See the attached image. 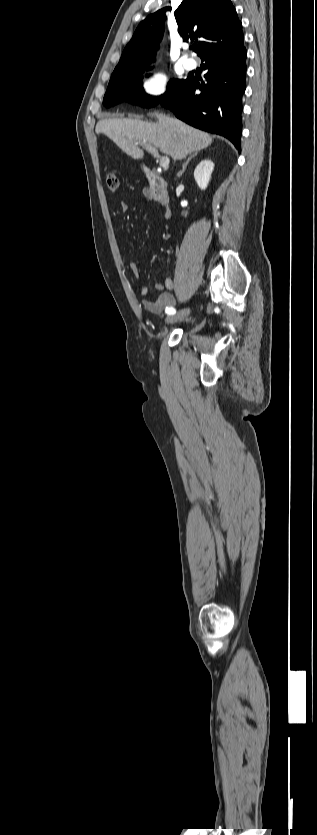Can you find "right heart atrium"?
<instances>
[{
    "mask_svg": "<svg viewBox=\"0 0 317 835\" xmlns=\"http://www.w3.org/2000/svg\"><path fill=\"white\" fill-rule=\"evenodd\" d=\"M169 87V77L161 70L150 72L140 83L142 93L150 101H156L165 97L169 92Z\"/></svg>",
    "mask_w": 317,
    "mask_h": 835,
    "instance_id": "right-heart-atrium-1",
    "label": "right heart atrium"
}]
</instances>
